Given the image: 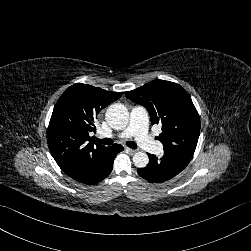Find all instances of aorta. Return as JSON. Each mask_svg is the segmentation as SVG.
I'll return each instance as SVG.
<instances>
[{
    "mask_svg": "<svg viewBox=\"0 0 251 251\" xmlns=\"http://www.w3.org/2000/svg\"><path fill=\"white\" fill-rule=\"evenodd\" d=\"M105 119L111 128L122 130L128 125L129 112L123 104H112L106 111ZM133 163L137 168H144L149 163V157L145 152H136L133 155Z\"/></svg>",
    "mask_w": 251,
    "mask_h": 251,
    "instance_id": "aorta-1",
    "label": "aorta"
}]
</instances>
